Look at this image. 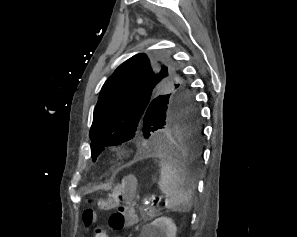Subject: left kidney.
<instances>
[{
    "mask_svg": "<svg viewBox=\"0 0 297 237\" xmlns=\"http://www.w3.org/2000/svg\"><path fill=\"white\" fill-rule=\"evenodd\" d=\"M177 227L172 219L160 217L146 228V237H176Z\"/></svg>",
    "mask_w": 297,
    "mask_h": 237,
    "instance_id": "1",
    "label": "left kidney"
}]
</instances>
